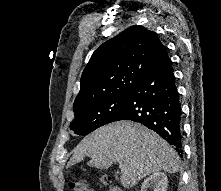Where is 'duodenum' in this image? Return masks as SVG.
Listing matches in <instances>:
<instances>
[{
    "label": "duodenum",
    "instance_id": "obj_1",
    "mask_svg": "<svg viewBox=\"0 0 221 191\" xmlns=\"http://www.w3.org/2000/svg\"><path fill=\"white\" fill-rule=\"evenodd\" d=\"M111 191H122V190L119 187H117V186H113L111 188Z\"/></svg>",
    "mask_w": 221,
    "mask_h": 191
}]
</instances>
